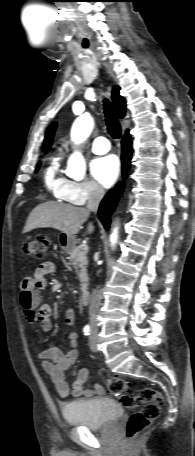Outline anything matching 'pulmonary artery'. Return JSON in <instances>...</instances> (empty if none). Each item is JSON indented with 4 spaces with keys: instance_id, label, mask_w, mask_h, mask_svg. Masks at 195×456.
Segmentation results:
<instances>
[{
    "instance_id": "e3ab8cb5",
    "label": "pulmonary artery",
    "mask_w": 195,
    "mask_h": 456,
    "mask_svg": "<svg viewBox=\"0 0 195 456\" xmlns=\"http://www.w3.org/2000/svg\"><path fill=\"white\" fill-rule=\"evenodd\" d=\"M91 150L96 154H104L110 150V143L105 137H98L90 144Z\"/></svg>"
}]
</instances>
